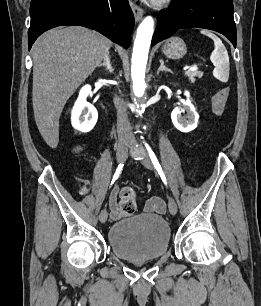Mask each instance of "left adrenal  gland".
<instances>
[{
  "label": "left adrenal gland",
  "instance_id": "obj_1",
  "mask_svg": "<svg viewBox=\"0 0 261 306\" xmlns=\"http://www.w3.org/2000/svg\"><path fill=\"white\" fill-rule=\"evenodd\" d=\"M161 71H166V72H172L171 69H168L165 65H164V61L161 59L160 60V67L157 70V75L161 72Z\"/></svg>",
  "mask_w": 261,
  "mask_h": 306
}]
</instances>
